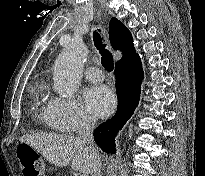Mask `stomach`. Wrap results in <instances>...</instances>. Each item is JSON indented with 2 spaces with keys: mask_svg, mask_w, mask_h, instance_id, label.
I'll return each instance as SVG.
<instances>
[{
  "mask_svg": "<svg viewBox=\"0 0 205 176\" xmlns=\"http://www.w3.org/2000/svg\"><path fill=\"white\" fill-rule=\"evenodd\" d=\"M21 148L24 149V150H28V151L31 150V151L37 153L36 150L28 144L21 146Z\"/></svg>",
  "mask_w": 205,
  "mask_h": 176,
  "instance_id": "0dacf381",
  "label": "stomach"
}]
</instances>
